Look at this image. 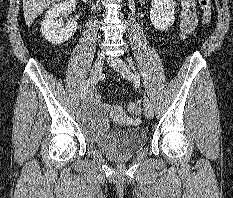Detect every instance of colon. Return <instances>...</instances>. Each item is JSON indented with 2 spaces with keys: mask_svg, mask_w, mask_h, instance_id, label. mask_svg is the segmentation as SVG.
Returning a JSON list of instances; mask_svg holds the SVG:
<instances>
[{
  "mask_svg": "<svg viewBox=\"0 0 233 198\" xmlns=\"http://www.w3.org/2000/svg\"><path fill=\"white\" fill-rule=\"evenodd\" d=\"M199 5L202 10V23L209 25L212 20L211 0H199ZM126 109L132 117L136 118L141 113V104L138 101H132L126 105Z\"/></svg>",
  "mask_w": 233,
  "mask_h": 198,
  "instance_id": "colon-1",
  "label": "colon"
}]
</instances>
